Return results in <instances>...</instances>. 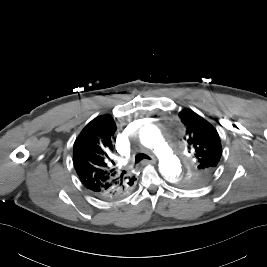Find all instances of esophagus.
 Returning <instances> with one entry per match:
<instances>
[{
	"mask_svg": "<svg viewBox=\"0 0 267 267\" xmlns=\"http://www.w3.org/2000/svg\"><path fill=\"white\" fill-rule=\"evenodd\" d=\"M156 160L154 158H151L150 160H143L141 163L143 165H146V164H155Z\"/></svg>",
	"mask_w": 267,
	"mask_h": 267,
	"instance_id": "1",
	"label": "esophagus"
}]
</instances>
